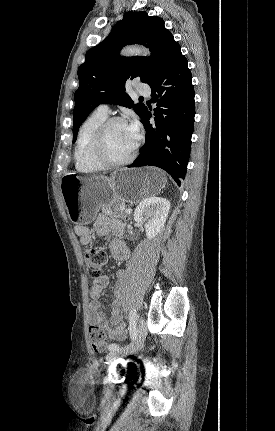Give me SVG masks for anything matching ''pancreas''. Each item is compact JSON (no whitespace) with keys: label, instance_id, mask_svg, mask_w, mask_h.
Segmentation results:
<instances>
[{"label":"pancreas","instance_id":"obj_1","mask_svg":"<svg viewBox=\"0 0 275 431\" xmlns=\"http://www.w3.org/2000/svg\"><path fill=\"white\" fill-rule=\"evenodd\" d=\"M103 213L112 215L116 218L126 219L128 214L125 212L124 205L121 203L103 204L101 206Z\"/></svg>","mask_w":275,"mask_h":431}]
</instances>
